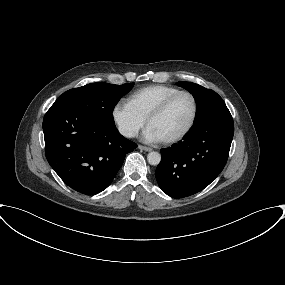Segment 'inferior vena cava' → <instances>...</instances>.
<instances>
[{"instance_id":"obj_1","label":"inferior vena cava","mask_w":285,"mask_h":285,"mask_svg":"<svg viewBox=\"0 0 285 285\" xmlns=\"http://www.w3.org/2000/svg\"><path fill=\"white\" fill-rule=\"evenodd\" d=\"M121 134L125 137H134L135 131L133 129H121Z\"/></svg>"}]
</instances>
